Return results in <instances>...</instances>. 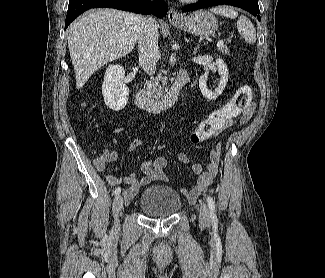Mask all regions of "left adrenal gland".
<instances>
[{
  "mask_svg": "<svg viewBox=\"0 0 325 278\" xmlns=\"http://www.w3.org/2000/svg\"><path fill=\"white\" fill-rule=\"evenodd\" d=\"M198 49H199V46L194 49V51H193L194 55H196Z\"/></svg>",
  "mask_w": 325,
  "mask_h": 278,
  "instance_id": "left-adrenal-gland-1",
  "label": "left adrenal gland"
}]
</instances>
